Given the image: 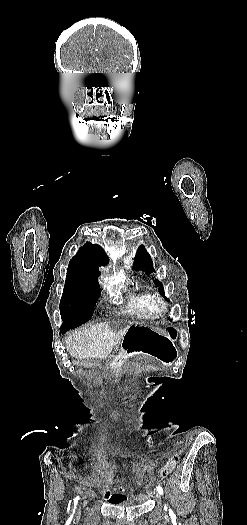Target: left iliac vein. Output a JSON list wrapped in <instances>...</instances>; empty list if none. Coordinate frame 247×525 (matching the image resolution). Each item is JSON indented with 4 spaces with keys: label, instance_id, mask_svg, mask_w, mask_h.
I'll return each mask as SVG.
<instances>
[{
    "label": "left iliac vein",
    "instance_id": "left-iliac-vein-1",
    "mask_svg": "<svg viewBox=\"0 0 247 525\" xmlns=\"http://www.w3.org/2000/svg\"><path fill=\"white\" fill-rule=\"evenodd\" d=\"M155 496H156L157 499H160V497H161L159 493H156Z\"/></svg>",
    "mask_w": 247,
    "mask_h": 525
}]
</instances>
